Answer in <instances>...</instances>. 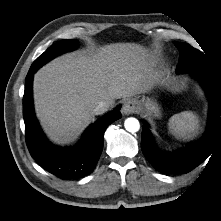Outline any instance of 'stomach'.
<instances>
[{"instance_id": "stomach-1", "label": "stomach", "mask_w": 221, "mask_h": 221, "mask_svg": "<svg viewBox=\"0 0 221 221\" xmlns=\"http://www.w3.org/2000/svg\"><path fill=\"white\" fill-rule=\"evenodd\" d=\"M141 104L143 105L147 115L154 117L160 116V107L156 102L152 100H142Z\"/></svg>"}]
</instances>
